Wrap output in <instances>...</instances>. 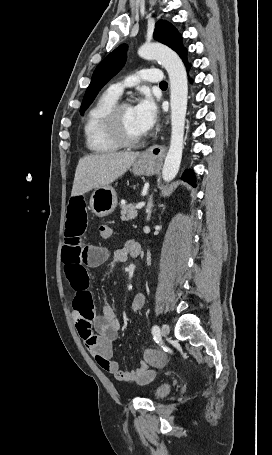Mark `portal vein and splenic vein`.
I'll return each mask as SVG.
<instances>
[{"label":"portal vein and splenic vein","instance_id":"portal-vein-and-splenic-vein-1","mask_svg":"<svg viewBox=\"0 0 272 455\" xmlns=\"http://www.w3.org/2000/svg\"><path fill=\"white\" fill-rule=\"evenodd\" d=\"M144 205H145L144 202H140V203H138V204L136 205V209H141V208L144 207Z\"/></svg>","mask_w":272,"mask_h":455}]
</instances>
